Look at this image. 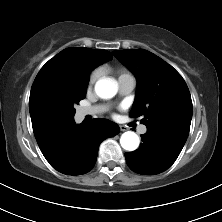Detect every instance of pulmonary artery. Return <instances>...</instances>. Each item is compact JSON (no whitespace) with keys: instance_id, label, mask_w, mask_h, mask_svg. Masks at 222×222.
<instances>
[{"instance_id":"e3ab8cb5","label":"pulmonary artery","mask_w":222,"mask_h":222,"mask_svg":"<svg viewBox=\"0 0 222 222\" xmlns=\"http://www.w3.org/2000/svg\"><path fill=\"white\" fill-rule=\"evenodd\" d=\"M136 81L133 76L121 77L118 79V88L119 94L122 96L130 94L135 88ZM104 107L102 106H94V107H86L81 108L78 111L80 117H85L86 115H94L102 112ZM139 133L144 134L147 131V127L145 125H140L138 128Z\"/></svg>"}]
</instances>
